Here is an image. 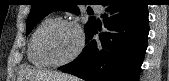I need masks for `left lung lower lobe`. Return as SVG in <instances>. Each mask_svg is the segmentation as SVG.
<instances>
[{"label":"left lung lower lobe","instance_id":"left-lung-lower-lobe-1","mask_svg":"<svg viewBox=\"0 0 169 81\" xmlns=\"http://www.w3.org/2000/svg\"><path fill=\"white\" fill-rule=\"evenodd\" d=\"M107 32L93 40L95 23L86 34V46L72 62L59 67L86 81H138L149 33L147 5L143 0H103Z\"/></svg>","mask_w":169,"mask_h":81}]
</instances>
